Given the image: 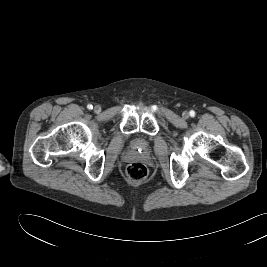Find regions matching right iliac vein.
Returning <instances> with one entry per match:
<instances>
[{"label": "right iliac vein", "instance_id": "1", "mask_svg": "<svg viewBox=\"0 0 267 267\" xmlns=\"http://www.w3.org/2000/svg\"><path fill=\"white\" fill-rule=\"evenodd\" d=\"M101 111V106L100 105H96L95 107H94V112L95 113H99Z\"/></svg>", "mask_w": 267, "mask_h": 267}]
</instances>
